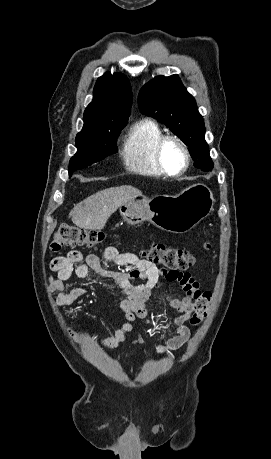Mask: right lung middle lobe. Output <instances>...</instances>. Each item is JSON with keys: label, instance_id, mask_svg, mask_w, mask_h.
<instances>
[{"label": "right lung middle lobe", "instance_id": "dd1d6c3e", "mask_svg": "<svg viewBox=\"0 0 271 459\" xmlns=\"http://www.w3.org/2000/svg\"><path fill=\"white\" fill-rule=\"evenodd\" d=\"M127 120L95 119L84 121L76 136L77 153L71 158L69 176L117 152L116 140Z\"/></svg>", "mask_w": 271, "mask_h": 459}]
</instances>
